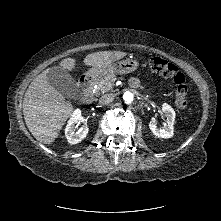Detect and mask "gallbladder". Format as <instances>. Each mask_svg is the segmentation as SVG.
I'll return each instance as SVG.
<instances>
[{"label": "gallbladder", "instance_id": "bac80fb5", "mask_svg": "<svg viewBox=\"0 0 221 221\" xmlns=\"http://www.w3.org/2000/svg\"><path fill=\"white\" fill-rule=\"evenodd\" d=\"M47 80L55 90L68 99H72L79 93L76 81L60 66H54L48 70Z\"/></svg>", "mask_w": 221, "mask_h": 221}]
</instances>
